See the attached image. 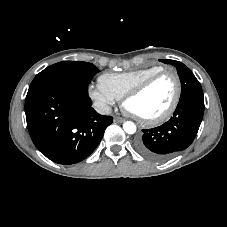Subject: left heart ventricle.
I'll list each match as a JSON object with an SVG mask.
<instances>
[{
	"label": "left heart ventricle",
	"instance_id": "b2bd125f",
	"mask_svg": "<svg viewBox=\"0 0 227 227\" xmlns=\"http://www.w3.org/2000/svg\"><path fill=\"white\" fill-rule=\"evenodd\" d=\"M175 94V81L166 74L154 81L144 92L127 101L126 108L142 118H153L162 114Z\"/></svg>",
	"mask_w": 227,
	"mask_h": 227
}]
</instances>
